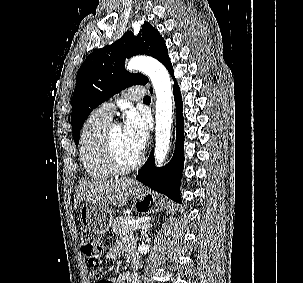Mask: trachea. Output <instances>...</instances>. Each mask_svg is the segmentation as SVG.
<instances>
[{
	"mask_svg": "<svg viewBox=\"0 0 303 283\" xmlns=\"http://www.w3.org/2000/svg\"><path fill=\"white\" fill-rule=\"evenodd\" d=\"M143 101H144V102L151 101V98H150L149 96H145L144 99H143Z\"/></svg>",
	"mask_w": 303,
	"mask_h": 283,
	"instance_id": "trachea-1",
	"label": "trachea"
}]
</instances>
